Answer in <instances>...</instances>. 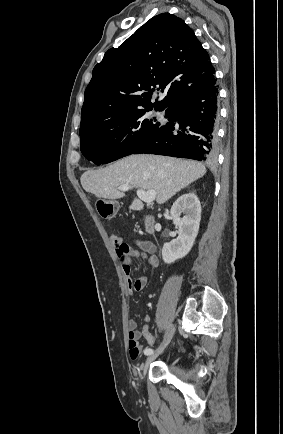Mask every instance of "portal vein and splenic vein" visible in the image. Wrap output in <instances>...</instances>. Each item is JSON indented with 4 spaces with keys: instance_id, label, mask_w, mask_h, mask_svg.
<instances>
[{
    "instance_id": "obj_1",
    "label": "portal vein and splenic vein",
    "mask_w": 283,
    "mask_h": 434,
    "mask_svg": "<svg viewBox=\"0 0 283 434\" xmlns=\"http://www.w3.org/2000/svg\"><path fill=\"white\" fill-rule=\"evenodd\" d=\"M132 186L129 185H121L119 186V189L121 191H127L129 189H132ZM137 195L140 199H142L145 203H152L156 198V192L153 190L150 191H144V190H137Z\"/></svg>"
}]
</instances>
